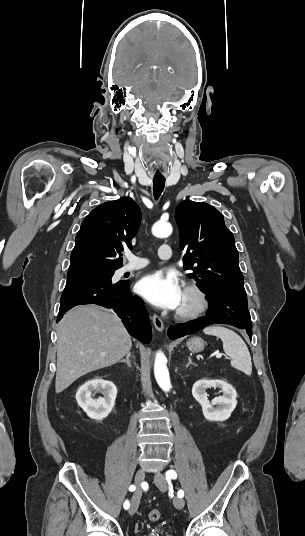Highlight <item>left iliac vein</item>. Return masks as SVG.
<instances>
[{"mask_svg": "<svg viewBox=\"0 0 305 536\" xmlns=\"http://www.w3.org/2000/svg\"><path fill=\"white\" fill-rule=\"evenodd\" d=\"M154 481H155V484L156 486L161 490V491H165L166 490V480H165V476L162 474V473H156L155 476H154ZM185 505V501L180 498V497H177L174 499V506L177 508V509H182Z\"/></svg>", "mask_w": 305, "mask_h": 536, "instance_id": "obj_1", "label": "left iliac vein"}]
</instances>
